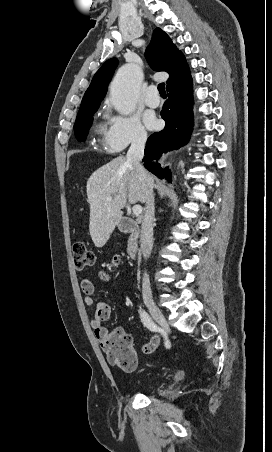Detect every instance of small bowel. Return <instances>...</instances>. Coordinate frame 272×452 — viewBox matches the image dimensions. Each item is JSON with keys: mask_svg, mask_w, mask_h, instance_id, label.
<instances>
[{"mask_svg": "<svg viewBox=\"0 0 272 452\" xmlns=\"http://www.w3.org/2000/svg\"><path fill=\"white\" fill-rule=\"evenodd\" d=\"M101 280L109 281L111 276L101 271L99 274ZM81 289L84 294V302L88 306H92L94 304V294L95 287L93 283L86 277L81 279ZM112 314V305L108 302H99L96 305V311L93 318L90 320V326L94 330L95 336L99 342L100 347L103 350L107 348V342L111 338L127 336L130 340V335L126 334L122 328H114V329H105L102 326V323L110 318ZM160 343V337L157 334H153L148 342H146L142 347V352L146 355L152 354Z\"/></svg>", "mask_w": 272, "mask_h": 452, "instance_id": "obj_1", "label": "small bowel"}]
</instances>
